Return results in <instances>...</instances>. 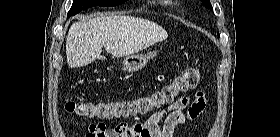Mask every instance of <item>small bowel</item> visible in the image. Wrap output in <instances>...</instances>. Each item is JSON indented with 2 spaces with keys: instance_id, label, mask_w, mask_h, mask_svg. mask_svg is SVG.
Instances as JSON below:
<instances>
[{
  "instance_id": "small-bowel-1",
  "label": "small bowel",
  "mask_w": 280,
  "mask_h": 137,
  "mask_svg": "<svg viewBox=\"0 0 280 137\" xmlns=\"http://www.w3.org/2000/svg\"><path fill=\"white\" fill-rule=\"evenodd\" d=\"M205 107V93L200 89L192 97H179L167 109L151 114L144 121L135 117L131 125L119 123L113 129L103 123L92 124L86 137H122L127 133H136L138 137H172L178 126L195 121Z\"/></svg>"
}]
</instances>
